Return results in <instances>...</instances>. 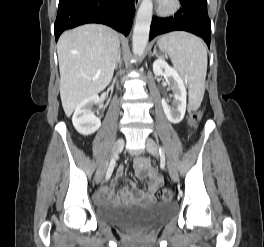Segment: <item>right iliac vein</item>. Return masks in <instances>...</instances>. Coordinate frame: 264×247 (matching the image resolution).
Listing matches in <instances>:
<instances>
[{"label": "right iliac vein", "instance_id": "right-iliac-vein-1", "mask_svg": "<svg viewBox=\"0 0 264 247\" xmlns=\"http://www.w3.org/2000/svg\"><path fill=\"white\" fill-rule=\"evenodd\" d=\"M123 147H124V140L120 138L114 143L110 157L118 155L122 151ZM107 166H108V161H105L97 170L95 177L97 183H99L102 180L105 171L107 169Z\"/></svg>", "mask_w": 264, "mask_h": 247}]
</instances>
